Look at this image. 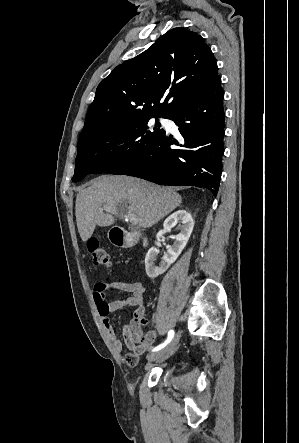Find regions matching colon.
Listing matches in <instances>:
<instances>
[{
  "instance_id": "obj_1",
  "label": "colon",
  "mask_w": 299,
  "mask_h": 443,
  "mask_svg": "<svg viewBox=\"0 0 299 443\" xmlns=\"http://www.w3.org/2000/svg\"><path fill=\"white\" fill-rule=\"evenodd\" d=\"M87 250L96 265L110 266L111 260L107 251L102 247L100 242L96 238H91L87 241ZM134 321H142L137 315H134Z\"/></svg>"
}]
</instances>
